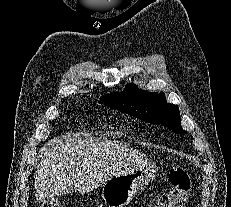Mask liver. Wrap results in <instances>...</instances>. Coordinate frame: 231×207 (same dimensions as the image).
<instances>
[{
	"label": "liver",
	"mask_w": 231,
	"mask_h": 207,
	"mask_svg": "<svg viewBox=\"0 0 231 207\" xmlns=\"http://www.w3.org/2000/svg\"><path fill=\"white\" fill-rule=\"evenodd\" d=\"M34 175L38 201L69 194L73 188L81 194L98 188L121 167L133 166L143 154L126 146L68 134L49 141Z\"/></svg>",
	"instance_id": "6515ba94"
}]
</instances>
